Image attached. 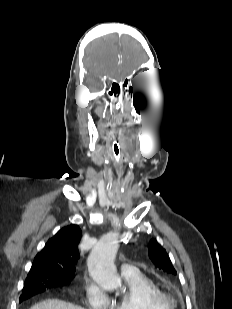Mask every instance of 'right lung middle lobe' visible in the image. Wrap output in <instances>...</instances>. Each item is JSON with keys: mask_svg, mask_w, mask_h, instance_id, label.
Segmentation results:
<instances>
[{"mask_svg": "<svg viewBox=\"0 0 232 309\" xmlns=\"http://www.w3.org/2000/svg\"><path fill=\"white\" fill-rule=\"evenodd\" d=\"M70 281L69 277L45 272L27 276L19 302H23L53 286L66 285Z\"/></svg>", "mask_w": 232, "mask_h": 309, "instance_id": "dd1d6c3e", "label": "right lung middle lobe"}]
</instances>
